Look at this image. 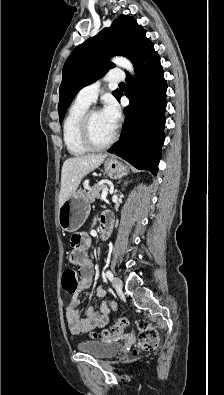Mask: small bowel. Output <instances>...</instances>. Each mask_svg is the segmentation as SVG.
<instances>
[{
	"instance_id": "small-bowel-1",
	"label": "small bowel",
	"mask_w": 224,
	"mask_h": 395,
	"mask_svg": "<svg viewBox=\"0 0 224 395\" xmlns=\"http://www.w3.org/2000/svg\"><path fill=\"white\" fill-rule=\"evenodd\" d=\"M90 243V238L86 233H75L71 238L73 250L69 255V260L72 264L77 265L80 271L78 289L71 296L65 308L66 321L73 334L88 332L103 327L109 322L110 306L106 299L105 289L101 285L97 286L95 291L100 300L99 308L95 309L93 306H88L84 315H81L78 310L80 292L88 290L92 285L93 263L87 255Z\"/></svg>"
}]
</instances>
